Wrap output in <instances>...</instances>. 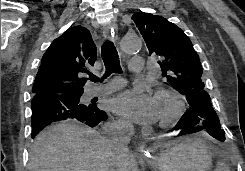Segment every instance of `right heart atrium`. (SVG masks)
Here are the masks:
<instances>
[{
	"label": "right heart atrium",
	"mask_w": 245,
	"mask_h": 171,
	"mask_svg": "<svg viewBox=\"0 0 245 171\" xmlns=\"http://www.w3.org/2000/svg\"><path fill=\"white\" fill-rule=\"evenodd\" d=\"M116 126L118 128H128L129 125L127 122L123 121V120H119L117 123H116Z\"/></svg>",
	"instance_id": "right-heart-atrium-1"
}]
</instances>
